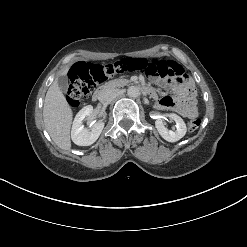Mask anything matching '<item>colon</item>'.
I'll return each instance as SVG.
<instances>
[{"label":"colon","mask_w":247,"mask_h":247,"mask_svg":"<svg viewBox=\"0 0 247 247\" xmlns=\"http://www.w3.org/2000/svg\"><path fill=\"white\" fill-rule=\"evenodd\" d=\"M146 64V58H124L110 64L77 62L68 73L67 102L71 107H77L82 99L89 96L96 86L108 77L126 72H139ZM200 125L201 119L194 116L188 122V129L195 131Z\"/></svg>","instance_id":"5ec220e1"}]
</instances>
